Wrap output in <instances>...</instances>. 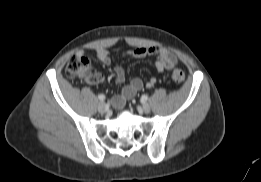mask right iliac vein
<instances>
[{"instance_id":"63e3f726","label":"right iliac vein","mask_w":261,"mask_h":182,"mask_svg":"<svg viewBox=\"0 0 261 182\" xmlns=\"http://www.w3.org/2000/svg\"><path fill=\"white\" fill-rule=\"evenodd\" d=\"M107 107H106V104L104 102H100L98 104V111L100 113H104L106 111Z\"/></svg>"}]
</instances>
